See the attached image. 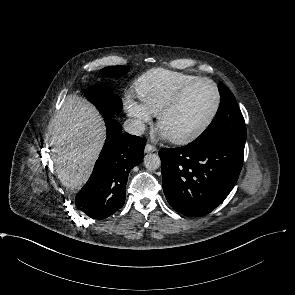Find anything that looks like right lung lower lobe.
<instances>
[{"label":"right lung lower lobe","mask_w":295,"mask_h":295,"mask_svg":"<svg viewBox=\"0 0 295 295\" xmlns=\"http://www.w3.org/2000/svg\"><path fill=\"white\" fill-rule=\"evenodd\" d=\"M107 138L88 182L75 198L77 208L94 219H104L118 211L126 197L130 170L143 160L146 141L122 133L112 117H104Z\"/></svg>","instance_id":"1"}]
</instances>
